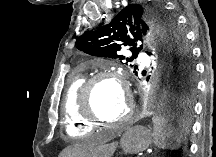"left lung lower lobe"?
<instances>
[{
	"label": "left lung lower lobe",
	"mask_w": 216,
	"mask_h": 157,
	"mask_svg": "<svg viewBox=\"0 0 216 157\" xmlns=\"http://www.w3.org/2000/svg\"><path fill=\"white\" fill-rule=\"evenodd\" d=\"M195 76V68H194ZM163 83L165 94L170 101L171 111L168 117L172 120L174 130L183 135L189 128V117L192 111V102L196 91V81L191 85L178 88L171 77L166 80V74L163 73Z\"/></svg>",
	"instance_id": "0a47b994"
}]
</instances>
